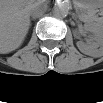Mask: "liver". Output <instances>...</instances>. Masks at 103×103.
<instances>
[{
	"label": "liver",
	"mask_w": 103,
	"mask_h": 103,
	"mask_svg": "<svg viewBox=\"0 0 103 103\" xmlns=\"http://www.w3.org/2000/svg\"><path fill=\"white\" fill-rule=\"evenodd\" d=\"M31 5L26 1L1 2L0 49L2 54L17 49L24 40L30 25Z\"/></svg>",
	"instance_id": "6515ba94"
}]
</instances>
